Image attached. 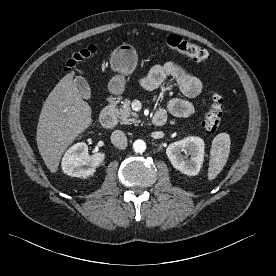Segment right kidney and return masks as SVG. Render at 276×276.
I'll use <instances>...</instances> for the list:
<instances>
[{
    "label": "right kidney",
    "instance_id": "obj_1",
    "mask_svg": "<svg viewBox=\"0 0 276 276\" xmlns=\"http://www.w3.org/2000/svg\"><path fill=\"white\" fill-rule=\"evenodd\" d=\"M105 159L102 152L88 156V146L84 142L70 147L62 159V170L69 176L88 178L94 175L96 169Z\"/></svg>",
    "mask_w": 276,
    "mask_h": 276
}]
</instances>
